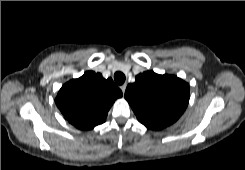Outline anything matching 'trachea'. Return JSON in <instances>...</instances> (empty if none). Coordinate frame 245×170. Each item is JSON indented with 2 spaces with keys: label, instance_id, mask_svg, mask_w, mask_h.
<instances>
[{
  "label": "trachea",
  "instance_id": "1",
  "mask_svg": "<svg viewBox=\"0 0 245 170\" xmlns=\"http://www.w3.org/2000/svg\"><path fill=\"white\" fill-rule=\"evenodd\" d=\"M114 80L118 85H122L125 82V75L122 72H116L114 74Z\"/></svg>",
  "mask_w": 245,
  "mask_h": 170
}]
</instances>
